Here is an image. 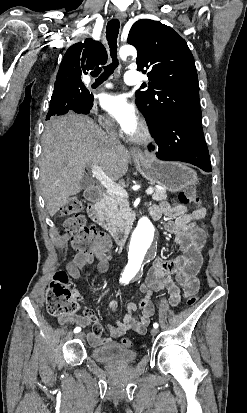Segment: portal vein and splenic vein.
<instances>
[{
	"instance_id": "18ae733b",
	"label": "portal vein and splenic vein",
	"mask_w": 247,
	"mask_h": 413,
	"mask_svg": "<svg viewBox=\"0 0 247 413\" xmlns=\"http://www.w3.org/2000/svg\"><path fill=\"white\" fill-rule=\"evenodd\" d=\"M91 170L93 172L92 176H96L97 180L107 188V192H112V194H120V196H128V192H126L124 186H120V184H116L112 178H109L105 172H103L102 168L93 162L91 164ZM147 194H153L154 188H147Z\"/></svg>"
}]
</instances>
